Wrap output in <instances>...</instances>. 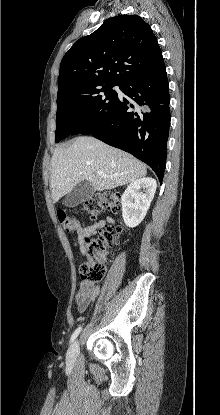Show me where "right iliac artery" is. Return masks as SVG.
Instances as JSON below:
<instances>
[{
	"label": "right iliac artery",
	"instance_id": "obj_1",
	"mask_svg": "<svg viewBox=\"0 0 220 415\" xmlns=\"http://www.w3.org/2000/svg\"><path fill=\"white\" fill-rule=\"evenodd\" d=\"M81 330H82V327L80 326V327H78L75 331H74V333L72 334V336H71V340H70V342H73L74 340H75V338L79 335V333L81 332Z\"/></svg>",
	"mask_w": 220,
	"mask_h": 415
}]
</instances>
